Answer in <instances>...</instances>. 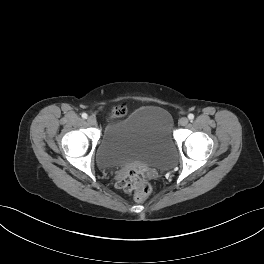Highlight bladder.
Instances as JSON below:
<instances>
[{
  "instance_id": "bladder-1",
  "label": "bladder",
  "mask_w": 264,
  "mask_h": 264,
  "mask_svg": "<svg viewBox=\"0 0 264 264\" xmlns=\"http://www.w3.org/2000/svg\"><path fill=\"white\" fill-rule=\"evenodd\" d=\"M104 170H117L133 164L161 168L174 158L169 114L158 107L134 110L109 127L96 152Z\"/></svg>"
}]
</instances>
